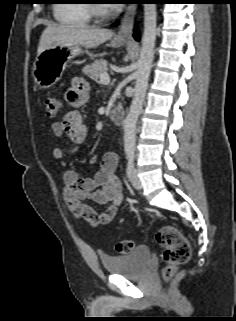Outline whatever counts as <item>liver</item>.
Instances as JSON below:
<instances>
[{
  "mask_svg": "<svg viewBox=\"0 0 236 321\" xmlns=\"http://www.w3.org/2000/svg\"><path fill=\"white\" fill-rule=\"evenodd\" d=\"M112 36L113 32L108 29L49 24L41 35L37 52L40 54L47 47L58 44L96 48Z\"/></svg>",
  "mask_w": 236,
  "mask_h": 321,
  "instance_id": "liver-1",
  "label": "liver"
}]
</instances>
